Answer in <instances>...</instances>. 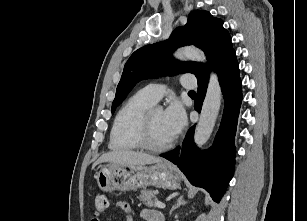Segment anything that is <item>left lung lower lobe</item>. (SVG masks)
<instances>
[{
	"mask_svg": "<svg viewBox=\"0 0 307 221\" xmlns=\"http://www.w3.org/2000/svg\"><path fill=\"white\" fill-rule=\"evenodd\" d=\"M225 107L213 146L199 151L193 142L195 126L187 133L180 147L160 156L176 164L191 184L206 189L219 202L233 176L235 165L234 137L242 101V84L236 54L233 52L217 69ZM208 78L198 81L194 108L200 112L206 94Z\"/></svg>",
	"mask_w": 307,
	"mask_h": 221,
	"instance_id": "1",
	"label": "left lung lower lobe"
}]
</instances>
